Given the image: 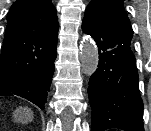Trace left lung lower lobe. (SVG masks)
Returning <instances> with one entry per match:
<instances>
[{
	"label": "left lung lower lobe",
	"mask_w": 151,
	"mask_h": 131,
	"mask_svg": "<svg viewBox=\"0 0 151 131\" xmlns=\"http://www.w3.org/2000/svg\"><path fill=\"white\" fill-rule=\"evenodd\" d=\"M82 30L92 36L99 50L98 68L88 88L92 131H144L131 25L116 16L93 12L85 14Z\"/></svg>",
	"instance_id": "0a47b994"
}]
</instances>
